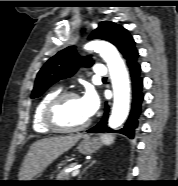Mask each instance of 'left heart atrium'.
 <instances>
[{"mask_svg":"<svg viewBox=\"0 0 178 186\" xmlns=\"http://www.w3.org/2000/svg\"><path fill=\"white\" fill-rule=\"evenodd\" d=\"M82 105L88 117H91L96 113L99 108V98L96 92L92 89H88L81 98Z\"/></svg>","mask_w":178,"mask_h":186,"instance_id":"1","label":"left heart atrium"}]
</instances>
